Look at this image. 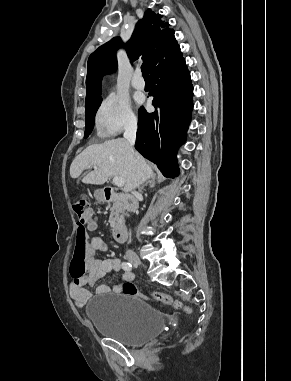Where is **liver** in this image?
<instances>
[{"instance_id": "6515ba94", "label": "liver", "mask_w": 291, "mask_h": 381, "mask_svg": "<svg viewBox=\"0 0 291 381\" xmlns=\"http://www.w3.org/2000/svg\"><path fill=\"white\" fill-rule=\"evenodd\" d=\"M92 167L94 171L83 177V183L102 185L109 177L118 176L124 179L123 191L126 193L155 176L146 160L126 139H112L88 146L73 160L70 176L78 178L84 170Z\"/></svg>"}]
</instances>
